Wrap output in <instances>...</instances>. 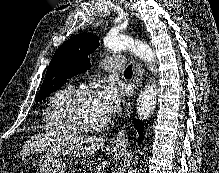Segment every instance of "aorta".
Masks as SVG:
<instances>
[{
  "instance_id": "1",
  "label": "aorta",
  "mask_w": 219,
  "mask_h": 173,
  "mask_svg": "<svg viewBox=\"0 0 219 173\" xmlns=\"http://www.w3.org/2000/svg\"><path fill=\"white\" fill-rule=\"evenodd\" d=\"M103 44L109 51H130L149 65L151 70L155 67V54L149 45L135 40L128 35H107ZM158 89L155 81L146 85L137 99V115L141 120H147L155 109ZM128 173H139L137 168H130Z\"/></svg>"
}]
</instances>
